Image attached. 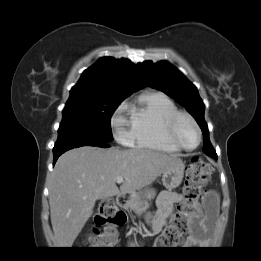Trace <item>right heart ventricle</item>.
<instances>
[{
    "label": "right heart ventricle",
    "mask_w": 261,
    "mask_h": 261,
    "mask_svg": "<svg viewBox=\"0 0 261 261\" xmlns=\"http://www.w3.org/2000/svg\"><path fill=\"white\" fill-rule=\"evenodd\" d=\"M126 109L131 146L165 153L180 151L167 135V122L179 110L166 94L144 92L134 102L128 104Z\"/></svg>",
    "instance_id": "obj_1"
}]
</instances>
